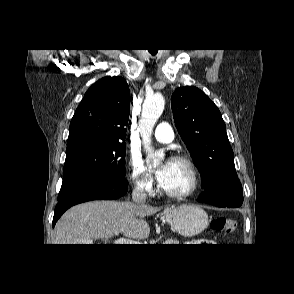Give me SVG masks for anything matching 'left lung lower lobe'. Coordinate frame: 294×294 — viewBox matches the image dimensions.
Segmentation results:
<instances>
[{
  "mask_svg": "<svg viewBox=\"0 0 294 294\" xmlns=\"http://www.w3.org/2000/svg\"><path fill=\"white\" fill-rule=\"evenodd\" d=\"M199 202L209 203L218 207H240L243 203L242 190H225L212 195L202 196Z\"/></svg>",
  "mask_w": 294,
  "mask_h": 294,
  "instance_id": "obj_1",
  "label": "left lung lower lobe"
}]
</instances>
